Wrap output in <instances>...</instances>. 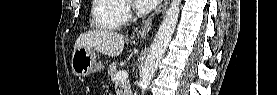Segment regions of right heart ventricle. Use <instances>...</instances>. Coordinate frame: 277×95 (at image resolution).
<instances>
[{"mask_svg":"<svg viewBox=\"0 0 277 95\" xmlns=\"http://www.w3.org/2000/svg\"><path fill=\"white\" fill-rule=\"evenodd\" d=\"M91 22L93 28L104 31L123 26L126 15L122 11V0H93Z\"/></svg>","mask_w":277,"mask_h":95,"instance_id":"obj_1","label":"right heart ventricle"}]
</instances>
